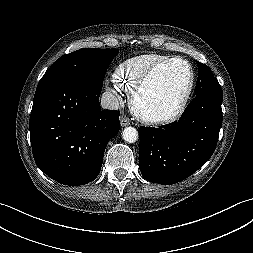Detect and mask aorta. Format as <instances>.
<instances>
[{
	"label": "aorta",
	"instance_id": "obj_1",
	"mask_svg": "<svg viewBox=\"0 0 253 253\" xmlns=\"http://www.w3.org/2000/svg\"><path fill=\"white\" fill-rule=\"evenodd\" d=\"M123 139L128 143H134L138 139V132L134 127H126L122 132Z\"/></svg>",
	"mask_w": 253,
	"mask_h": 253
}]
</instances>
